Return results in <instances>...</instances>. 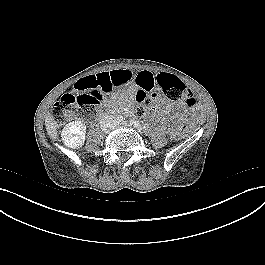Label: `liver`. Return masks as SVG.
<instances>
[{
    "instance_id": "liver-1",
    "label": "liver",
    "mask_w": 265,
    "mask_h": 265,
    "mask_svg": "<svg viewBox=\"0 0 265 265\" xmlns=\"http://www.w3.org/2000/svg\"><path fill=\"white\" fill-rule=\"evenodd\" d=\"M45 126L50 138L53 140L57 139V126L51 114H47L45 118Z\"/></svg>"
}]
</instances>
